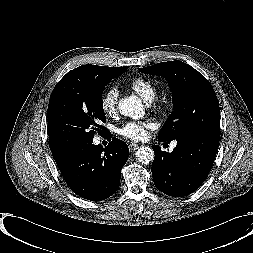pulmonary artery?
Masks as SVG:
<instances>
[{
    "label": "pulmonary artery",
    "instance_id": "obj_1",
    "mask_svg": "<svg viewBox=\"0 0 253 253\" xmlns=\"http://www.w3.org/2000/svg\"><path fill=\"white\" fill-rule=\"evenodd\" d=\"M174 146H176V142H173L171 147H174Z\"/></svg>",
    "mask_w": 253,
    "mask_h": 253
}]
</instances>
